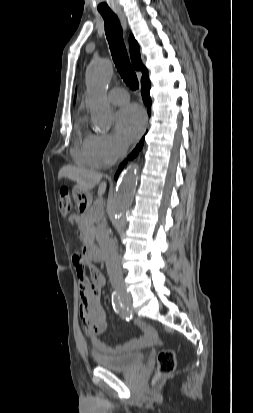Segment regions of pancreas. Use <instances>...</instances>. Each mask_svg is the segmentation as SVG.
<instances>
[{
	"instance_id": "pancreas-1",
	"label": "pancreas",
	"mask_w": 253,
	"mask_h": 413,
	"mask_svg": "<svg viewBox=\"0 0 253 413\" xmlns=\"http://www.w3.org/2000/svg\"><path fill=\"white\" fill-rule=\"evenodd\" d=\"M103 211L100 207L91 206L80 216L78 226L83 235V242L92 245L95 239L98 224L102 219Z\"/></svg>"
}]
</instances>
